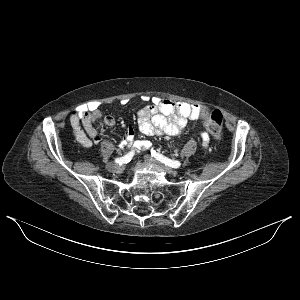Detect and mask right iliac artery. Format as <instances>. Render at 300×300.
Listing matches in <instances>:
<instances>
[{
  "label": "right iliac artery",
  "mask_w": 300,
  "mask_h": 300,
  "mask_svg": "<svg viewBox=\"0 0 300 300\" xmlns=\"http://www.w3.org/2000/svg\"><path fill=\"white\" fill-rule=\"evenodd\" d=\"M133 156H134V151H131L128 154L124 155L123 157L116 158L115 162L119 165H122L130 162Z\"/></svg>",
  "instance_id": "obj_1"
}]
</instances>
